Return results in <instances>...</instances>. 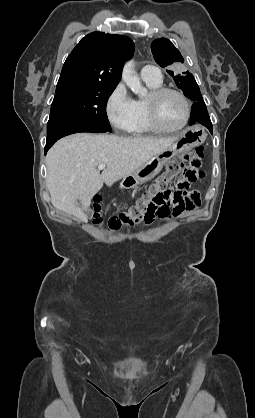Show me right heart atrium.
I'll return each mask as SVG.
<instances>
[{"instance_id": "1", "label": "right heart atrium", "mask_w": 255, "mask_h": 418, "mask_svg": "<svg viewBox=\"0 0 255 418\" xmlns=\"http://www.w3.org/2000/svg\"><path fill=\"white\" fill-rule=\"evenodd\" d=\"M105 112L109 123L118 131H129L133 125L136 105L124 84H118L105 104Z\"/></svg>"}]
</instances>
